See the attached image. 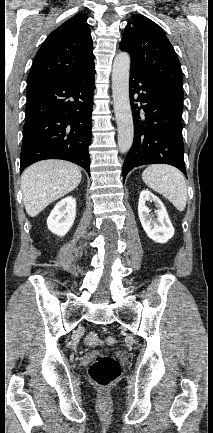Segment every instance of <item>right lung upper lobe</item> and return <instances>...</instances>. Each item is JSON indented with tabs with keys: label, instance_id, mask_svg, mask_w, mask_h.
<instances>
[{
	"label": "right lung upper lobe",
	"instance_id": "cb5924a9",
	"mask_svg": "<svg viewBox=\"0 0 213 433\" xmlns=\"http://www.w3.org/2000/svg\"><path fill=\"white\" fill-rule=\"evenodd\" d=\"M78 13L54 30L38 50L27 81H62L94 66L93 41L86 22Z\"/></svg>",
	"mask_w": 213,
	"mask_h": 433
}]
</instances>
